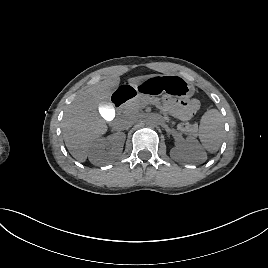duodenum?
<instances>
[{
    "instance_id": "duodenum-1",
    "label": "duodenum",
    "mask_w": 268,
    "mask_h": 268,
    "mask_svg": "<svg viewBox=\"0 0 268 268\" xmlns=\"http://www.w3.org/2000/svg\"><path fill=\"white\" fill-rule=\"evenodd\" d=\"M135 95V92L131 88H122L117 90L113 95V104L116 108H121L127 100L132 98Z\"/></svg>"
}]
</instances>
